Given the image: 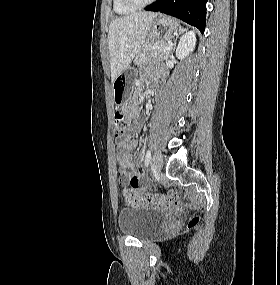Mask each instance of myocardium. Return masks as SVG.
Masks as SVG:
<instances>
[{
	"instance_id": "f54148a6",
	"label": "myocardium",
	"mask_w": 280,
	"mask_h": 285,
	"mask_svg": "<svg viewBox=\"0 0 280 285\" xmlns=\"http://www.w3.org/2000/svg\"><path fill=\"white\" fill-rule=\"evenodd\" d=\"M156 0H145V1H138V0H123V2L131 8H143L147 5L154 3Z\"/></svg>"
}]
</instances>
